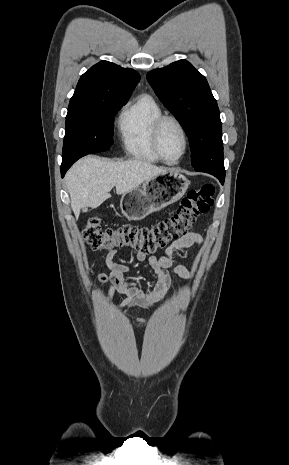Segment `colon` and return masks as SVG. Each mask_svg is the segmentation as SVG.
Returning a JSON list of instances; mask_svg holds the SVG:
<instances>
[{
    "mask_svg": "<svg viewBox=\"0 0 289 465\" xmlns=\"http://www.w3.org/2000/svg\"><path fill=\"white\" fill-rule=\"evenodd\" d=\"M214 194L215 187L211 184L190 190L173 215L150 227L123 225L102 228L100 218L92 216L83 228V240L94 250L134 249L153 254L171 240L186 234L196 219L210 210Z\"/></svg>",
    "mask_w": 289,
    "mask_h": 465,
    "instance_id": "1",
    "label": "colon"
}]
</instances>
